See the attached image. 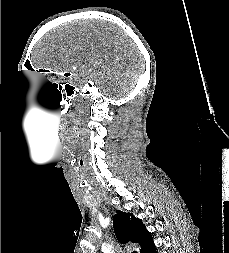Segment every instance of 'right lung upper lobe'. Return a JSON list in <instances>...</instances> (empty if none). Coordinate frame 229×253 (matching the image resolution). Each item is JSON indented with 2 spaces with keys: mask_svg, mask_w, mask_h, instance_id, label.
<instances>
[{
  "mask_svg": "<svg viewBox=\"0 0 229 253\" xmlns=\"http://www.w3.org/2000/svg\"><path fill=\"white\" fill-rule=\"evenodd\" d=\"M113 227L115 235L121 243L130 241L139 244L140 253H143L153 243L151 233L140 219L133 217L132 213L117 210L113 217Z\"/></svg>",
  "mask_w": 229,
  "mask_h": 253,
  "instance_id": "1",
  "label": "right lung upper lobe"
}]
</instances>
